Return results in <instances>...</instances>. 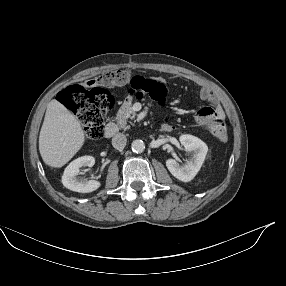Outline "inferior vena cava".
<instances>
[{
	"label": "inferior vena cava",
	"instance_id": "1",
	"mask_svg": "<svg viewBox=\"0 0 286 286\" xmlns=\"http://www.w3.org/2000/svg\"><path fill=\"white\" fill-rule=\"evenodd\" d=\"M127 138L124 134L118 133L112 138V145L115 149H123L126 146Z\"/></svg>",
	"mask_w": 286,
	"mask_h": 286
}]
</instances>
